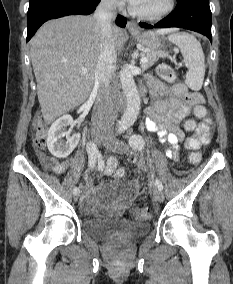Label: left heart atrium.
Here are the masks:
<instances>
[{
	"label": "left heart atrium",
	"mask_w": 233,
	"mask_h": 284,
	"mask_svg": "<svg viewBox=\"0 0 233 284\" xmlns=\"http://www.w3.org/2000/svg\"><path fill=\"white\" fill-rule=\"evenodd\" d=\"M130 4L136 5L139 3L140 0H127Z\"/></svg>",
	"instance_id": "1"
}]
</instances>
